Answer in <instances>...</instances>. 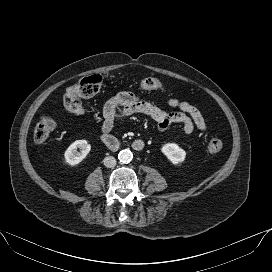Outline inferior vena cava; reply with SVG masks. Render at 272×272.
<instances>
[{"instance_id": "inferior-vena-cava-1", "label": "inferior vena cava", "mask_w": 272, "mask_h": 272, "mask_svg": "<svg viewBox=\"0 0 272 272\" xmlns=\"http://www.w3.org/2000/svg\"><path fill=\"white\" fill-rule=\"evenodd\" d=\"M103 163L106 167L111 168L116 165V159L113 156H107L104 158Z\"/></svg>"}]
</instances>
